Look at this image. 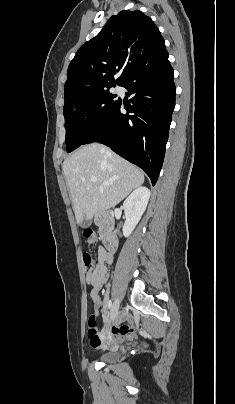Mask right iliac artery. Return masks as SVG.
I'll return each mask as SVG.
<instances>
[{"mask_svg": "<svg viewBox=\"0 0 235 404\" xmlns=\"http://www.w3.org/2000/svg\"><path fill=\"white\" fill-rule=\"evenodd\" d=\"M112 301L111 300H109L108 301V309H111V315H112Z\"/></svg>", "mask_w": 235, "mask_h": 404, "instance_id": "obj_1", "label": "right iliac artery"}]
</instances>
